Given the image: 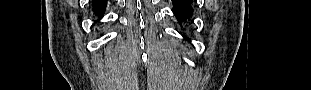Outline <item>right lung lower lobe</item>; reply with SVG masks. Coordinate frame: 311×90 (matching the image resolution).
<instances>
[{
  "label": "right lung lower lobe",
  "instance_id": "1",
  "mask_svg": "<svg viewBox=\"0 0 311 90\" xmlns=\"http://www.w3.org/2000/svg\"><path fill=\"white\" fill-rule=\"evenodd\" d=\"M105 8H106V0L93 1V10L96 14L102 15Z\"/></svg>",
  "mask_w": 311,
  "mask_h": 90
}]
</instances>
